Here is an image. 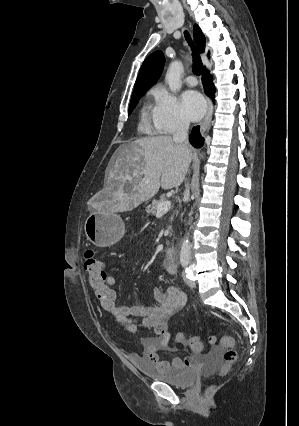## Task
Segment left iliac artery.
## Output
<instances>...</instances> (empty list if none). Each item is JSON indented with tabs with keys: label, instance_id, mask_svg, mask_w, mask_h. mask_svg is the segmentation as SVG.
I'll return each mask as SVG.
<instances>
[{
	"label": "left iliac artery",
	"instance_id": "left-iliac-artery-1",
	"mask_svg": "<svg viewBox=\"0 0 299 426\" xmlns=\"http://www.w3.org/2000/svg\"><path fill=\"white\" fill-rule=\"evenodd\" d=\"M184 267H186L188 265V262H183L182 263ZM186 272H188V269L186 268Z\"/></svg>",
	"mask_w": 299,
	"mask_h": 426
}]
</instances>
